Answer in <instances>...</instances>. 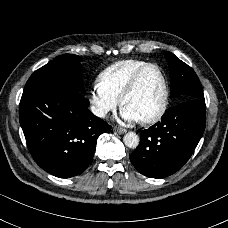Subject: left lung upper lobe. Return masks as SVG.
I'll return each instance as SVG.
<instances>
[{
	"label": "left lung upper lobe",
	"instance_id": "obj_1",
	"mask_svg": "<svg viewBox=\"0 0 228 228\" xmlns=\"http://www.w3.org/2000/svg\"><path fill=\"white\" fill-rule=\"evenodd\" d=\"M170 68L171 96H184V100H204L203 89L194 70L171 52H166Z\"/></svg>",
	"mask_w": 228,
	"mask_h": 228
}]
</instances>
